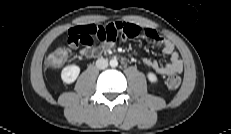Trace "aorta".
Wrapping results in <instances>:
<instances>
[{
    "label": "aorta",
    "instance_id": "762f6f07",
    "mask_svg": "<svg viewBox=\"0 0 231 134\" xmlns=\"http://www.w3.org/2000/svg\"><path fill=\"white\" fill-rule=\"evenodd\" d=\"M110 66L111 67H117L118 66V61H117V59H111L110 60Z\"/></svg>",
    "mask_w": 231,
    "mask_h": 134
}]
</instances>
